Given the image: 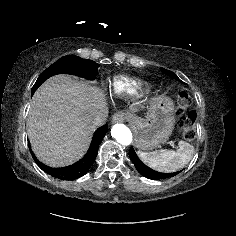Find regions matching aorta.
I'll return each instance as SVG.
<instances>
[{
	"label": "aorta",
	"instance_id": "1",
	"mask_svg": "<svg viewBox=\"0 0 236 236\" xmlns=\"http://www.w3.org/2000/svg\"><path fill=\"white\" fill-rule=\"evenodd\" d=\"M111 135L122 145H129L132 142V133L124 124H115L111 129Z\"/></svg>",
	"mask_w": 236,
	"mask_h": 236
}]
</instances>
